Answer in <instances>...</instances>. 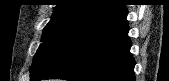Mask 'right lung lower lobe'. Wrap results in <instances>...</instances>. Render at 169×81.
Instances as JSON below:
<instances>
[{
    "mask_svg": "<svg viewBox=\"0 0 169 81\" xmlns=\"http://www.w3.org/2000/svg\"><path fill=\"white\" fill-rule=\"evenodd\" d=\"M126 16L123 5L84 23L30 75L31 81H135Z\"/></svg>",
    "mask_w": 169,
    "mask_h": 81,
    "instance_id": "1",
    "label": "right lung lower lobe"
}]
</instances>
